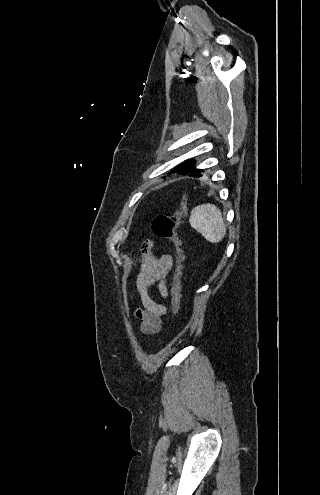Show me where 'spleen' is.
Masks as SVG:
<instances>
[{"label":"spleen","instance_id":"1","mask_svg":"<svg viewBox=\"0 0 320 495\" xmlns=\"http://www.w3.org/2000/svg\"><path fill=\"white\" fill-rule=\"evenodd\" d=\"M190 224L206 240L212 243L222 241L226 234L222 213L215 205L207 203L191 211Z\"/></svg>","mask_w":320,"mask_h":495}]
</instances>
